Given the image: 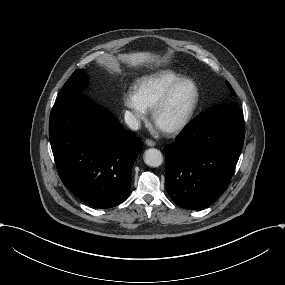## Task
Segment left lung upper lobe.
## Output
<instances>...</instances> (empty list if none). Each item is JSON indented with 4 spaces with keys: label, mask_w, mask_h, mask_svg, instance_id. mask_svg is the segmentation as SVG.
I'll return each instance as SVG.
<instances>
[{
    "label": "left lung upper lobe",
    "mask_w": 285,
    "mask_h": 285,
    "mask_svg": "<svg viewBox=\"0 0 285 285\" xmlns=\"http://www.w3.org/2000/svg\"><path fill=\"white\" fill-rule=\"evenodd\" d=\"M226 84H227L228 87L230 88L231 93H232L233 95H235V91L233 90V88L231 87V85H230L228 82H226Z\"/></svg>",
    "instance_id": "left-lung-upper-lobe-1"
}]
</instances>
